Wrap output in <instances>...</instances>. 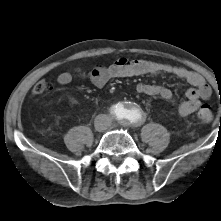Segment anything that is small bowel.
Returning <instances> with one entry per match:
<instances>
[{
	"mask_svg": "<svg viewBox=\"0 0 221 221\" xmlns=\"http://www.w3.org/2000/svg\"><path fill=\"white\" fill-rule=\"evenodd\" d=\"M160 73L175 76L192 86L186 91L187 99L179 104L178 112L181 116H189L195 113L200 108L201 101L211 96L208 83L197 72L181 66L145 59L131 60L125 57L118 58L108 66H96L88 74L80 68L61 72L57 76V82L60 85H67L73 80L74 74H77L81 77H87L94 86L102 88L115 78L157 75ZM135 91L139 94L157 96L165 100H170L173 97L172 91L161 85L140 83L136 85Z\"/></svg>",
	"mask_w": 221,
	"mask_h": 221,
	"instance_id": "1",
	"label": "small bowel"
}]
</instances>
